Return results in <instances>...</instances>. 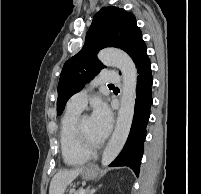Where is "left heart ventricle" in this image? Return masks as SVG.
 Returning <instances> with one entry per match:
<instances>
[{
  "mask_svg": "<svg viewBox=\"0 0 201 194\" xmlns=\"http://www.w3.org/2000/svg\"><path fill=\"white\" fill-rule=\"evenodd\" d=\"M82 129L87 141L91 144L99 143L100 140L96 137L93 129L92 120L90 117L86 116L82 120Z\"/></svg>",
  "mask_w": 201,
  "mask_h": 194,
  "instance_id": "1",
  "label": "left heart ventricle"
}]
</instances>
